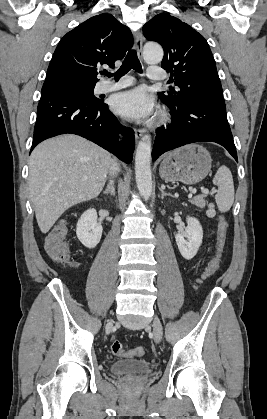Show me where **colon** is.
Masks as SVG:
<instances>
[{
  "instance_id": "5ec220e1",
  "label": "colon",
  "mask_w": 267,
  "mask_h": 419,
  "mask_svg": "<svg viewBox=\"0 0 267 419\" xmlns=\"http://www.w3.org/2000/svg\"><path fill=\"white\" fill-rule=\"evenodd\" d=\"M228 230V222L225 218L220 217L218 220L217 243L216 252L209 261L207 267L201 278L198 280V285L213 276L219 268L221 253L225 244L226 234ZM68 233V223L65 220L57 222L49 231L45 238L44 247L48 256L55 262L63 265H70L71 252L66 242V235ZM111 352L116 356H142L145 353V348L138 346L125 350L120 341H114L111 344Z\"/></svg>"
}]
</instances>
